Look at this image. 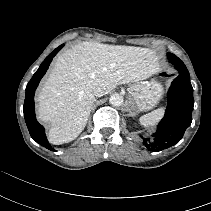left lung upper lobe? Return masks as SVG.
Segmentation results:
<instances>
[{
    "mask_svg": "<svg viewBox=\"0 0 211 211\" xmlns=\"http://www.w3.org/2000/svg\"><path fill=\"white\" fill-rule=\"evenodd\" d=\"M167 56H168L169 61L173 65H175L176 68H178V67H184V68H186V66L184 65V63L177 56H175L174 54L167 53Z\"/></svg>",
    "mask_w": 211,
    "mask_h": 211,
    "instance_id": "obj_1",
    "label": "left lung upper lobe"
}]
</instances>
